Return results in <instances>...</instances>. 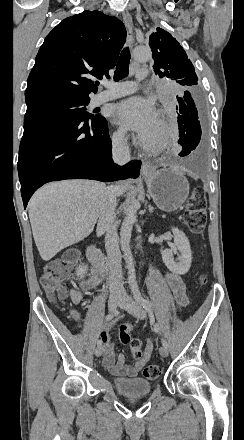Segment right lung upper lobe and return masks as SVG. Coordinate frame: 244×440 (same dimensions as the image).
Instances as JSON below:
<instances>
[{
	"mask_svg": "<svg viewBox=\"0 0 244 440\" xmlns=\"http://www.w3.org/2000/svg\"><path fill=\"white\" fill-rule=\"evenodd\" d=\"M116 17L97 10L68 17L45 38L27 80L25 99L40 96L90 98L91 77H109L125 43Z\"/></svg>",
	"mask_w": 244,
	"mask_h": 440,
	"instance_id": "1",
	"label": "right lung upper lobe"
}]
</instances>
